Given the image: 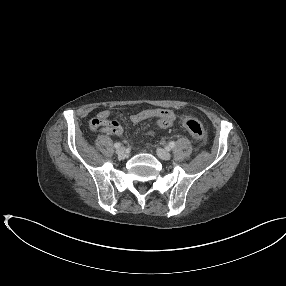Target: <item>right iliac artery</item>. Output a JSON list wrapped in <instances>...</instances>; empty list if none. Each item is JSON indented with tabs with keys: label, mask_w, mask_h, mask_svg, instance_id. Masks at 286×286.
Instances as JSON below:
<instances>
[{
	"label": "right iliac artery",
	"mask_w": 286,
	"mask_h": 286,
	"mask_svg": "<svg viewBox=\"0 0 286 286\" xmlns=\"http://www.w3.org/2000/svg\"><path fill=\"white\" fill-rule=\"evenodd\" d=\"M120 146H121V144L118 143V142L114 144V147H115L116 149L119 148Z\"/></svg>",
	"instance_id": "1"
}]
</instances>
